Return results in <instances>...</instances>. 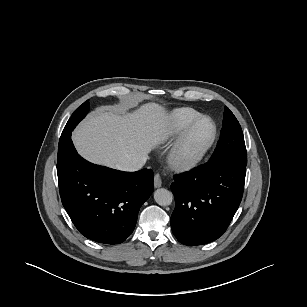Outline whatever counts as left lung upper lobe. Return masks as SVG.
I'll list each match as a JSON object with an SVG mask.
<instances>
[{
	"instance_id": "5c2ea615",
	"label": "left lung upper lobe",
	"mask_w": 307,
	"mask_h": 307,
	"mask_svg": "<svg viewBox=\"0 0 307 307\" xmlns=\"http://www.w3.org/2000/svg\"><path fill=\"white\" fill-rule=\"evenodd\" d=\"M229 161L247 165V153L241 126L228 107L224 110L223 127L217 147L209 162Z\"/></svg>"
}]
</instances>
